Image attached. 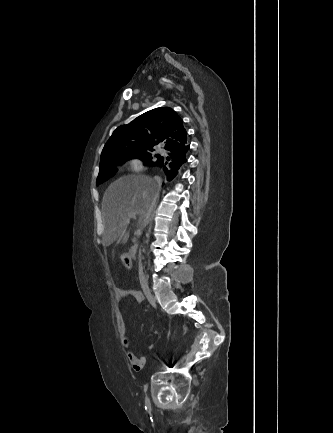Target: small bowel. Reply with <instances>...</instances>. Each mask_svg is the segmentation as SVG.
<instances>
[{"mask_svg": "<svg viewBox=\"0 0 333 433\" xmlns=\"http://www.w3.org/2000/svg\"><path fill=\"white\" fill-rule=\"evenodd\" d=\"M116 298L118 302H122L125 299H133L137 302H142L144 300V294L140 290L136 289H126V288H117L115 291ZM118 330L120 333L121 344L126 350L127 359L134 370H140L143 368L145 363L144 357H139L136 355L130 347V338L127 333L125 320L120 314L118 321ZM152 347V346H151Z\"/></svg>", "mask_w": 333, "mask_h": 433, "instance_id": "c3829d8e", "label": "small bowel"}]
</instances>
